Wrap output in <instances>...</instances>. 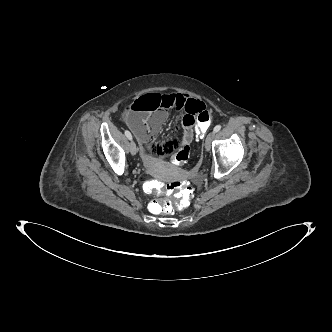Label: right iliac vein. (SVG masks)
Here are the masks:
<instances>
[{
	"label": "right iliac vein",
	"instance_id": "obj_1",
	"mask_svg": "<svg viewBox=\"0 0 332 332\" xmlns=\"http://www.w3.org/2000/svg\"><path fill=\"white\" fill-rule=\"evenodd\" d=\"M129 148L132 155H135L137 153V147L134 141L130 142Z\"/></svg>",
	"mask_w": 332,
	"mask_h": 332
}]
</instances>
